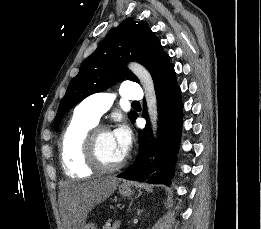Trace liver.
Listing matches in <instances>:
<instances>
[{
	"mask_svg": "<svg viewBox=\"0 0 261 229\" xmlns=\"http://www.w3.org/2000/svg\"><path fill=\"white\" fill-rule=\"evenodd\" d=\"M120 179L101 177L85 183L69 185L68 197L65 201V217L68 229H82L88 213L93 207L109 199L117 189Z\"/></svg>",
	"mask_w": 261,
	"mask_h": 229,
	"instance_id": "6515ba94",
	"label": "liver"
}]
</instances>
